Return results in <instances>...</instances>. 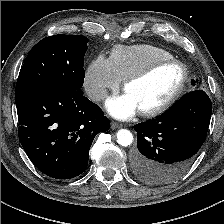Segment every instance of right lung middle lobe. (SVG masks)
I'll list each match as a JSON object with an SVG mask.
<instances>
[{"mask_svg":"<svg viewBox=\"0 0 224 224\" xmlns=\"http://www.w3.org/2000/svg\"><path fill=\"white\" fill-rule=\"evenodd\" d=\"M89 39L81 35L58 34L38 42L21 67L15 102L28 94L52 87L80 90L84 81V55Z\"/></svg>","mask_w":224,"mask_h":224,"instance_id":"right-lung-middle-lobe-1","label":"right lung middle lobe"}]
</instances>
